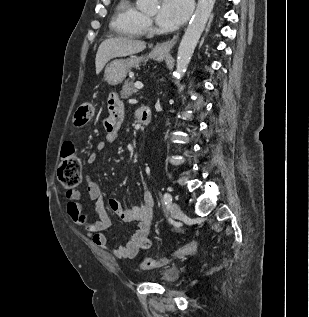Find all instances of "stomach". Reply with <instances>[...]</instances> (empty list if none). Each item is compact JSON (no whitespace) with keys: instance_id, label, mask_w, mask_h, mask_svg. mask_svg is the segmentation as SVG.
I'll use <instances>...</instances> for the list:
<instances>
[{"instance_id":"obj_1","label":"stomach","mask_w":309,"mask_h":317,"mask_svg":"<svg viewBox=\"0 0 309 317\" xmlns=\"http://www.w3.org/2000/svg\"><path fill=\"white\" fill-rule=\"evenodd\" d=\"M166 56L157 49H153L147 57L130 56L127 59H116L111 61L105 68L104 78L109 85L120 84L127 76L130 69L137 67L146 58L161 61Z\"/></svg>"}]
</instances>
